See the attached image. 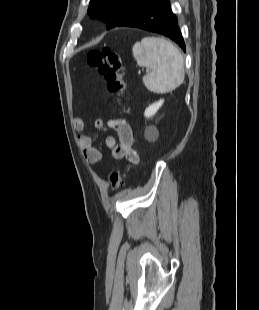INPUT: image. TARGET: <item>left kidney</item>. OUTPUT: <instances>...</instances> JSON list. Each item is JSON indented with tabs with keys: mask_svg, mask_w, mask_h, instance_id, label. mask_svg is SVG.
<instances>
[{
	"mask_svg": "<svg viewBox=\"0 0 259 310\" xmlns=\"http://www.w3.org/2000/svg\"><path fill=\"white\" fill-rule=\"evenodd\" d=\"M164 100L161 99L156 103H153L152 105H150L148 108H146L144 115L146 118H150L152 116H154L156 114V112L158 111V109L162 106Z\"/></svg>",
	"mask_w": 259,
	"mask_h": 310,
	"instance_id": "5707ae66",
	"label": "left kidney"
}]
</instances>
